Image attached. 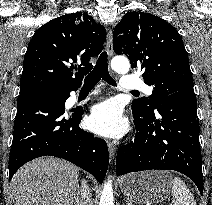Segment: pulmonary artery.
I'll return each mask as SVG.
<instances>
[{
    "label": "pulmonary artery",
    "mask_w": 212,
    "mask_h": 205,
    "mask_svg": "<svg viewBox=\"0 0 212 205\" xmlns=\"http://www.w3.org/2000/svg\"><path fill=\"white\" fill-rule=\"evenodd\" d=\"M120 87L126 91L142 90L148 95L152 93V89L148 85H146L141 79L131 75H124L122 77Z\"/></svg>",
    "instance_id": "pulmonary-artery-1"
}]
</instances>
